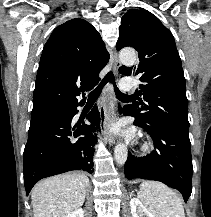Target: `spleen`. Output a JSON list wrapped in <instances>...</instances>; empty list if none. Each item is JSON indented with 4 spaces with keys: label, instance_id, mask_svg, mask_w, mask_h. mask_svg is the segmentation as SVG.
Here are the masks:
<instances>
[{
    "label": "spleen",
    "instance_id": "obj_1",
    "mask_svg": "<svg viewBox=\"0 0 211 217\" xmlns=\"http://www.w3.org/2000/svg\"><path fill=\"white\" fill-rule=\"evenodd\" d=\"M138 197L154 217H185L180 198L161 182L143 181Z\"/></svg>",
    "mask_w": 211,
    "mask_h": 217
}]
</instances>
